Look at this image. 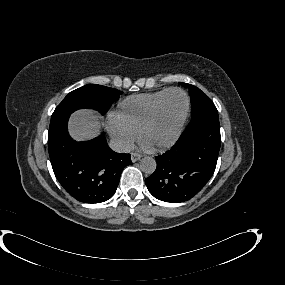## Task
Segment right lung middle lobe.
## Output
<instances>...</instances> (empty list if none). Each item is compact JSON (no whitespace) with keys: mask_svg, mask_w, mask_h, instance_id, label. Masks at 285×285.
Here are the masks:
<instances>
[{"mask_svg":"<svg viewBox=\"0 0 285 285\" xmlns=\"http://www.w3.org/2000/svg\"><path fill=\"white\" fill-rule=\"evenodd\" d=\"M121 94V91L114 88L96 84L85 85L70 92L64 98L53 112L51 122L81 108H93L104 115Z\"/></svg>","mask_w":285,"mask_h":285,"instance_id":"1","label":"right lung middle lobe"}]
</instances>
